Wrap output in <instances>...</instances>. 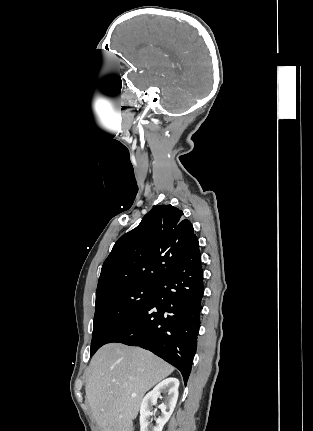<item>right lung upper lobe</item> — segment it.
Here are the masks:
<instances>
[{"label":"right lung upper lobe","instance_id":"1","mask_svg":"<svg viewBox=\"0 0 313 431\" xmlns=\"http://www.w3.org/2000/svg\"><path fill=\"white\" fill-rule=\"evenodd\" d=\"M172 205H157L115 243L102 266L96 300L141 285H158L184 258L197 237Z\"/></svg>","mask_w":313,"mask_h":431}]
</instances>
